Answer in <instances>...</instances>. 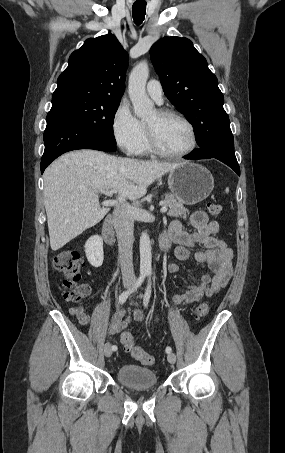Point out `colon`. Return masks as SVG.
Instances as JSON below:
<instances>
[{
	"label": "colon",
	"instance_id": "1",
	"mask_svg": "<svg viewBox=\"0 0 285 453\" xmlns=\"http://www.w3.org/2000/svg\"><path fill=\"white\" fill-rule=\"evenodd\" d=\"M209 213L218 217L222 213V207L215 203L208 204ZM54 268L63 274L64 297L67 300L75 302L82 308V304L88 295L86 286L80 284L83 268V260L78 252L61 251L53 261ZM209 312L207 303H200L195 309V318L202 319ZM121 343L124 349L131 354L133 358L140 361L144 365H152L155 362L153 355L145 352L139 345L136 344L133 335L130 332L121 334Z\"/></svg>",
	"mask_w": 285,
	"mask_h": 453
}]
</instances>
